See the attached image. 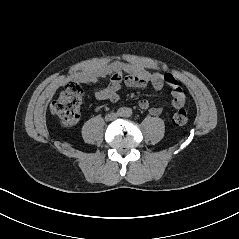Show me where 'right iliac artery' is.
<instances>
[{
	"label": "right iliac artery",
	"instance_id": "1",
	"mask_svg": "<svg viewBox=\"0 0 239 239\" xmlns=\"http://www.w3.org/2000/svg\"><path fill=\"white\" fill-rule=\"evenodd\" d=\"M117 114H118L119 116H124V115H125V109H124V108L118 109Z\"/></svg>",
	"mask_w": 239,
	"mask_h": 239
}]
</instances>
